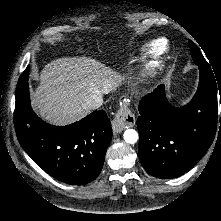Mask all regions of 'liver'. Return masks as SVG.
I'll use <instances>...</instances> for the list:
<instances>
[{
  "instance_id": "6515ba94",
  "label": "liver",
  "mask_w": 221,
  "mask_h": 221,
  "mask_svg": "<svg viewBox=\"0 0 221 221\" xmlns=\"http://www.w3.org/2000/svg\"><path fill=\"white\" fill-rule=\"evenodd\" d=\"M122 77L102 63L82 56L56 59L40 73V83L33 92V105L39 114L54 124H68L85 116L90 109L87 97L109 93Z\"/></svg>"
}]
</instances>
